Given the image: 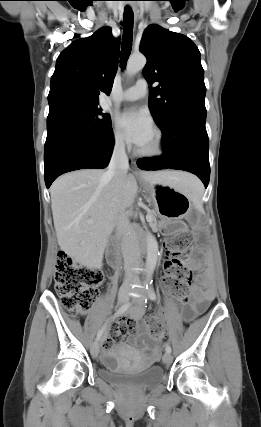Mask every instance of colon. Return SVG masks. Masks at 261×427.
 Masks as SVG:
<instances>
[{
    "instance_id": "colon-1",
    "label": "colon",
    "mask_w": 261,
    "mask_h": 427,
    "mask_svg": "<svg viewBox=\"0 0 261 427\" xmlns=\"http://www.w3.org/2000/svg\"><path fill=\"white\" fill-rule=\"evenodd\" d=\"M190 244L191 235L187 230L176 233L166 242L168 262L163 285L173 292L180 305L188 301L192 272L181 264L179 258ZM54 279L55 290L62 306L72 314H84L90 310L96 300L103 274L100 269L83 265L61 251L57 255ZM143 324L151 337L161 336L163 324L158 318H150Z\"/></svg>"
}]
</instances>
